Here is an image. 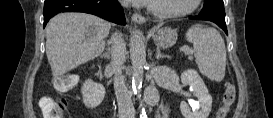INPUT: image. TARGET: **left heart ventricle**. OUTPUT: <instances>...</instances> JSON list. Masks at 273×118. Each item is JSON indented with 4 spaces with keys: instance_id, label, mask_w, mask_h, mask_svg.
<instances>
[{
    "instance_id": "1",
    "label": "left heart ventricle",
    "mask_w": 273,
    "mask_h": 118,
    "mask_svg": "<svg viewBox=\"0 0 273 118\" xmlns=\"http://www.w3.org/2000/svg\"><path fill=\"white\" fill-rule=\"evenodd\" d=\"M191 4V0H156L152 5L159 11L183 10Z\"/></svg>"
}]
</instances>
